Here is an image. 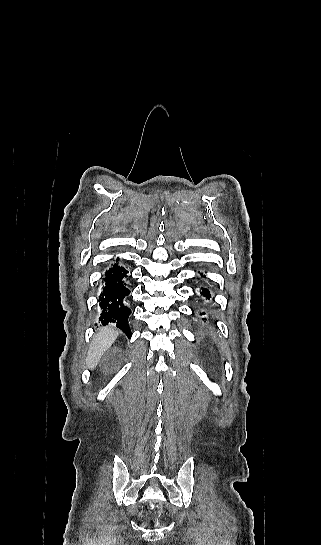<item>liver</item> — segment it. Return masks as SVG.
I'll list each match as a JSON object with an SVG mask.
<instances>
[{"mask_svg":"<svg viewBox=\"0 0 321 545\" xmlns=\"http://www.w3.org/2000/svg\"><path fill=\"white\" fill-rule=\"evenodd\" d=\"M117 337L118 331H114V329H110V327H101V329H99L98 333H96L92 339L85 361L88 369H95V367H97L102 355L110 349Z\"/></svg>","mask_w":321,"mask_h":545,"instance_id":"1","label":"liver"}]
</instances>
